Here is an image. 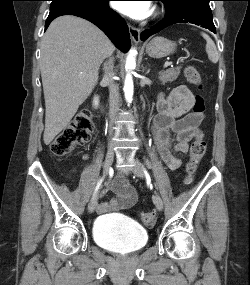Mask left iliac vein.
Here are the masks:
<instances>
[{
    "label": "left iliac vein",
    "instance_id": "1",
    "mask_svg": "<svg viewBox=\"0 0 250 285\" xmlns=\"http://www.w3.org/2000/svg\"><path fill=\"white\" fill-rule=\"evenodd\" d=\"M132 171L137 177H139V178L144 177V174H145L144 168L141 165V163H139L138 161L134 162L133 167H132ZM153 202L159 211H161L163 209V202H162V199L159 196V194L155 193V195L153 196Z\"/></svg>",
    "mask_w": 250,
    "mask_h": 285
}]
</instances>
